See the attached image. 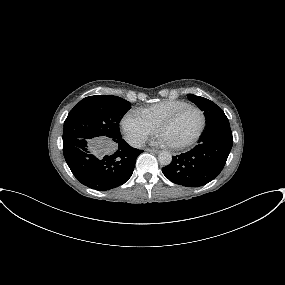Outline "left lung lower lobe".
Returning <instances> with one entry per match:
<instances>
[{
	"label": "left lung lower lobe",
	"instance_id": "obj_1",
	"mask_svg": "<svg viewBox=\"0 0 285 285\" xmlns=\"http://www.w3.org/2000/svg\"><path fill=\"white\" fill-rule=\"evenodd\" d=\"M192 150L173 157L162 168L173 183L186 187H199L215 179L222 171L233 144L228 119L206 123V128Z\"/></svg>",
	"mask_w": 285,
	"mask_h": 285
}]
</instances>
